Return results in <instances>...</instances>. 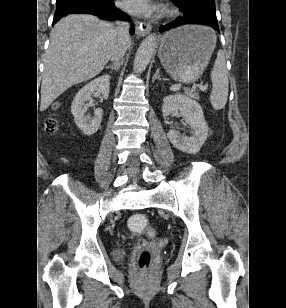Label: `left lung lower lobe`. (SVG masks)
I'll return each instance as SVG.
<instances>
[{
	"instance_id": "0a47b994",
	"label": "left lung lower lobe",
	"mask_w": 286,
	"mask_h": 308,
	"mask_svg": "<svg viewBox=\"0 0 286 308\" xmlns=\"http://www.w3.org/2000/svg\"><path fill=\"white\" fill-rule=\"evenodd\" d=\"M184 12L176 21L160 27L161 32L185 24L208 25L219 31L214 0H171Z\"/></svg>"
}]
</instances>
